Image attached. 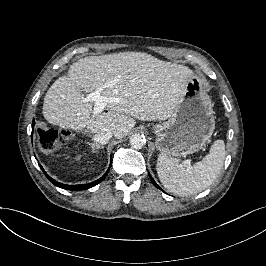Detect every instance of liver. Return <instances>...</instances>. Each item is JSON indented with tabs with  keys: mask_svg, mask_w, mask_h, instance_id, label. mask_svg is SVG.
I'll use <instances>...</instances> for the list:
<instances>
[{
	"mask_svg": "<svg viewBox=\"0 0 266 266\" xmlns=\"http://www.w3.org/2000/svg\"><path fill=\"white\" fill-rule=\"evenodd\" d=\"M194 73L187 66L165 62L144 52H119L89 56L73 63L68 76L58 78L48 89L43 116L52 125L91 133L109 130L122 139L141 121L166 120L186 92ZM113 86L101 91L108 102L107 112L93 114V102L84 94L105 83Z\"/></svg>",
	"mask_w": 266,
	"mask_h": 266,
	"instance_id": "6515ba94",
	"label": "liver"
}]
</instances>
